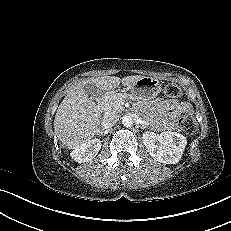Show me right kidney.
<instances>
[{
	"label": "right kidney",
	"mask_w": 231,
	"mask_h": 231,
	"mask_svg": "<svg viewBox=\"0 0 231 231\" xmlns=\"http://www.w3.org/2000/svg\"><path fill=\"white\" fill-rule=\"evenodd\" d=\"M101 149V141L99 139H91L75 147L70 156L78 163L91 161Z\"/></svg>",
	"instance_id": "1"
}]
</instances>
